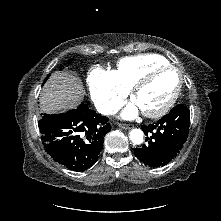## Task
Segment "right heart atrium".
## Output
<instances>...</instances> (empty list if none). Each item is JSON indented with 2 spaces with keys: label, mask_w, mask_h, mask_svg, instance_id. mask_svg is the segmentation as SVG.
Wrapping results in <instances>:
<instances>
[{
  "label": "right heart atrium",
  "mask_w": 221,
  "mask_h": 221,
  "mask_svg": "<svg viewBox=\"0 0 221 221\" xmlns=\"http://www.w3.org/2000/svg\"><path fill=\"white\" fill-rule=\"evenodd\" d=\"M87 81L91 98L102 114L114 112L128 95L113 71L94 67L89 71Z\"/></svg>",
  "instance_id": "obj_1"
}]
</instances>
